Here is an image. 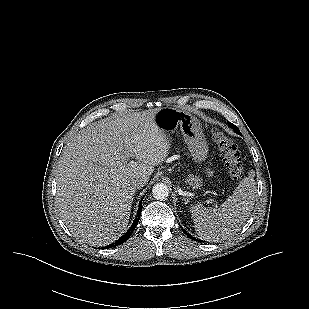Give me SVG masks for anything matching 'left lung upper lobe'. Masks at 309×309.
<instances>
[{
	"mask_svg": "<svg viewBox=\"0 0 309 309\" xmlns=\"http://www.w3.org/2000/svg\"><path fill=\"white\" fill-rule=\"evenodd\" d=\"M227 123H228V125H229L232 129H234V131H235L237 134H240L239 129H238L234 124L230 123L229 121H227Z\"/></svg>",
	"mask_w": 309,
	"mask_h": 309,
	"instance_id": "1",
	"label": "left lung upper lobe"
}]
</instances>
